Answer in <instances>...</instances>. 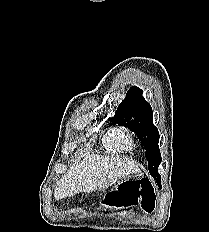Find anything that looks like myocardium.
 <instances>
[{
    "instance_id": "1",
    "label": "myocardium",
    "mask_w": 209,
    "mask_h": 232,
    "mask_svg": "<svg viewBox=\"0 0 209 232\" xmlns=\"http://www.w3.org/2000/svg\"><path fill=\"white\" fill-rule=\"evenodd\" d=\"M117 140L123 149L131 150L134 148L132 132L125 127L116 128Z\"/></svg>"
}]
</instances>
